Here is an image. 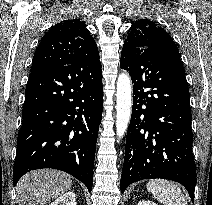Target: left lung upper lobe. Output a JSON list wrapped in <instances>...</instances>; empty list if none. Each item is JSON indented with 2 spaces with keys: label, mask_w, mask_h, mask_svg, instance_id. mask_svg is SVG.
<instances>
[{
  "label": "left lung upper lobe",
  "mask_w": 212,
  "mask_h": 205,
  "mask_svg": "<svg viewBox=\"0 0 212 205\" xmlns=\"http://www.w3.org/2000/svg\"><path fill=\"white\" fill-rule=\"evenodd\" d=\"M157 46L170 48L178 51L172 37L160 25L148 20L141 19L134 22L128 31L121 58L135 52V48Z\"/></svg>",
  "instance_id": "left-lung-upper-lobe-1"
}]
</instances>
